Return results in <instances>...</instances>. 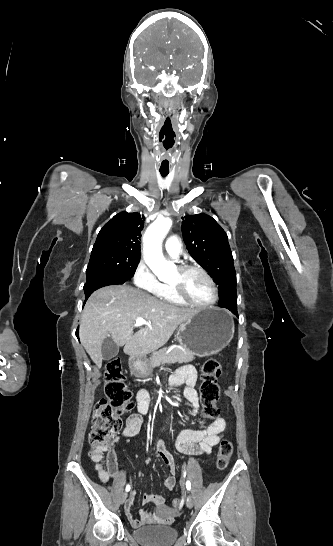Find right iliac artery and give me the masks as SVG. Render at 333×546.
Wrapping results in <instances>:
<instances>
[{
	"label": "right iliac artery",
	"mask_w": 333,
	"mask_h": 546,
	"mask_svg": "<svg viewBox=\"0 0 333 546\" xmlns=\"http://www.w3.org/2000/svg\"><path fill=\"white\" fill-rule=\"evenodd\" d=\"M130 489H131V487H130V485L128 484V485L126 486L125 490H126V492H128V491H130Z\"/></svg>",
	"instance_id": "right-iliac-artery-1"
}]
</instances>
